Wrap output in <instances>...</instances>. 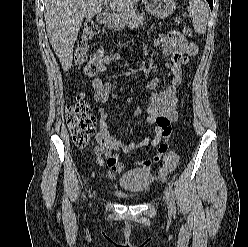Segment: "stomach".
Wrapping results in <instances>:
<instances>
[{
  "label": "stomach",
  "instance_id": "stomach-1",
  "mask_svg": "<svg viewBox=\"0 0 248 247\" xmlns=\"http://www.w3.org/2000/svg\"><path fill=\"white\" fill-rule=\"evenodd\" d=\"M143 1L148 12L161 18L171 15L176 8V4L174 0H143ZM124 14L116 16L111 22L108 23V27L112 30H121L126 24V18Z\"/></svg>",
  "mask_w": 248,
  "mask_h": 247
}]
</instances>
